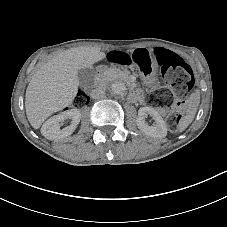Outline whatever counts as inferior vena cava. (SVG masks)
Listing matches in <instances>:
<instances>
[{
	"mask_svg": "<svg viewBox=\"0 0 227 227\" xmlns=\"http://www.w3.org/2000/svg\"><path fill=\"white\" fill-rule=\"evenodd\" d=\"M105 95V91L101 87H97L95 89H92L90 92V96L93 99H100Z\"/></svg>",
	"mask_w": 227,
	"mask_h": 227,
	"instance_id": "1",
	"label": "inferior vena cava"
}]
</instances>
